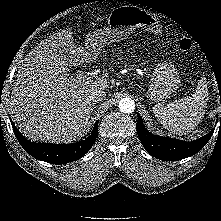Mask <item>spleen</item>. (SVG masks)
<instances>
[{
  "label": "spleen",
  "mask_w": 221,
  "mask_h": 221,
  "mask_svg": "<svg viewBox=\"0 0 221 221\" xmlns=\"http://www.w3.org/2000/svg\"><path fill=\"white\" fill-rule=\"evenodd\" d=\"M208 89L202 77L193 94L175 100L167 106L155 105L153 113L164 128L182 135L193 131L204 117L207 108Z\"/></svg>",
  "instance_id": "spleen-1"
}]
</instances>
